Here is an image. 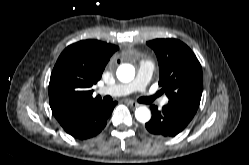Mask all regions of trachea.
Here are the masks:
<instances>
[{
  "label": "trachea",
  "mask_w": 249,
  "mask_h": 165,
  "mask_svg": "<svg viewBox=\"0 0 249 165\" xmlns=\"http://www.w3.org/2000/svg\"><path fill=\"white\" fill-rule=\"evenodd\" d=\"M156 97H157V95H155L152 98H145V97H143V98L139 99V102H142V103H145V104H149V103H152ZM104 100L107 101V102H110V101H112V98L110 96H106L104 98Z\"/></svg>",
  "instance_id": "3493384b"
}]
</instances>
